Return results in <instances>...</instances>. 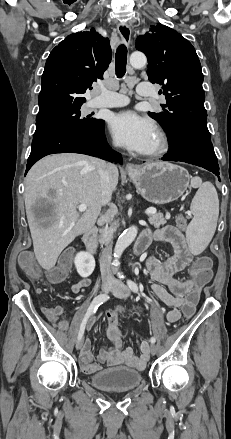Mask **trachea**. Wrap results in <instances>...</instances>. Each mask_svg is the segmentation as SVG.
Returning <instances> with one entry per match:
<instances>
[{"instance_id": "obj_1", "label": "trachea", "mask_w": 231, "mask_h": 439, "mask_svg": "<svg viewBox=\"0 0 231 439\" xmlns=\"http://www.w3.org/2000/svg\"><path fill=\"white\" fill-rule=\"evenodd\" d=\"M115 70L118 78H122L126 73L127 48L124 44L119 45L115 57Z\"/></svg>"}]
</instances>
